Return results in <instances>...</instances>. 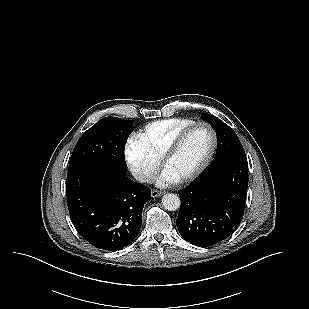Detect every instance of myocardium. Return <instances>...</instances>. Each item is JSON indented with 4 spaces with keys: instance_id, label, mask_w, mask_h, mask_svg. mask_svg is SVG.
I'll use <instances>...</instances> for the list:
<instances>
[{
    "instance_id": "myocardium-1",
    "label": "myocardium",
    "mask_w": 309,
    "mask_h": 309,
    "mask_svg": "<svg viewBox=\"0 0 309 309\" xmlns=\"http://www.w3.org/2000/svg\"><path fill=\"white\" fill-rule=\"evenodd\" d=\"M206 127L210 134H211V146L210 149L205 156V158L202 160V162L195 168L193 169L190 173L178 178V182L180 183H186L189 181L194 180L196 177H198L204 170L205 168L209 165L215 150L217 146V134L214 130V128L207 122L204 121H197L192 123L191 125L187 126L185 129H183L176 137L175 139L171 142V144L168 146L166 149L165 153L163 154L161 158V164L162 167H166L167 163L172 159V157L179 151V149L182 147L183 143L187 139L188 135L190 132L196 128V127Z\"/></svg>"
}]
</instances>
